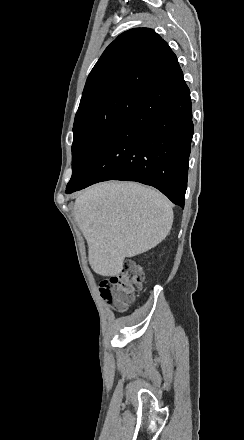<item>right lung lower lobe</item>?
Returning a JSON list of instances; mask_svg holds the SVG:
<instances>
[{
  "instance_id": "98d812e1",
  "label": "right lung lower lobe",
  "mask_w": 244,
  "mask_h": 440,
  "mask_svg": "<svg viewBox=\"0 0 244 440\" xmlns=\"http://www.w3.org/2000/svg\"><path fill=\"white\" fill-rule=\"evenodd\" d=\"M191 105L179 69L139 99L66 193L106 180L136 181L184 207L193 136Z\"/></svg>"
}]
</instances>
